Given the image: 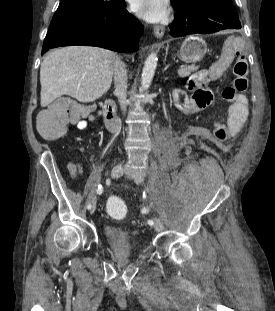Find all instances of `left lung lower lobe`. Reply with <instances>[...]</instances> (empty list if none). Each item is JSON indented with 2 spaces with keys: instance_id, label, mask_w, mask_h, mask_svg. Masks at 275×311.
Instances as JSON below:
<instances>
[{
  "instance_id": "1",
  "label": "left lung lower lobe",
  "mask_w": 275,
  "mask_h": 311,
  "mask_svg": "<svg viewBox=\"0 0 275 311\" xmlns=\"http://www.w3.org/2000/svg\"><path fill=\"white\" fill-rule=\"evenodd\" d=\"M172 5L175 9L174 21L170 25L173 37L241 28L236 10L228 4L200 0L186 7Z\"/></svg>"
}]
</instances>
